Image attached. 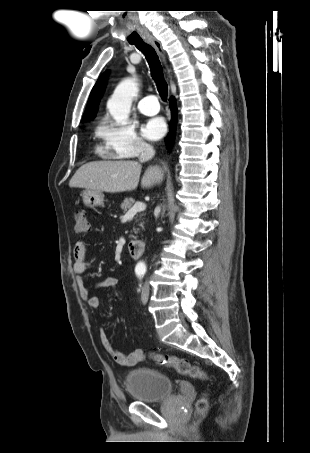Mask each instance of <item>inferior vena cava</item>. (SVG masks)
<instances>
[{"label":"inferior vena cava","mask_w":310,"mask_h":453,"mask_svg":"<svg viewBox=\"0 0 310 453\" xmlns=\"http://www.w3.org/2000/svg\"><path fill=\"white\" fill-rule=\"evenodd\" d=\"M154 154H155V150L153 149V147L149 144H144L142 146L139 161L140 162L148 161L153 158Z\"/></svg>","instance_id":"602c4592"}]
</instances>
